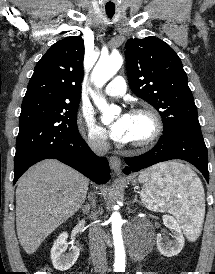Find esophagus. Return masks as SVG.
Wrapping results in <instances>:
<instances>
[{"instance_id": "34e87169", "label": "esophagus", "mask_w": 215, "mask_h": 274, "mask_svg": "<svg viewBox=\"0 0 215 274\" xmlns=\"http://www.w3.org/2000/svg\"><path fill=\"white\" fill-rule=\"evenodd\" d=\"M109 165L111 169L118 175L121 173V160L117 156H111L109 158Z\"/></svg>"}]
</instances>
